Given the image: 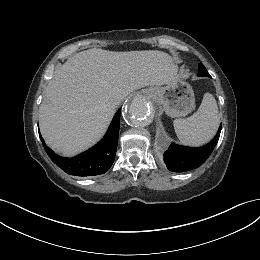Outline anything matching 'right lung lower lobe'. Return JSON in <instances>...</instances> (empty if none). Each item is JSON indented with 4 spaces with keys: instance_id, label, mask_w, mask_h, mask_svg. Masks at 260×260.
<instances>
[{
    "instance_id": "1",
    "label": "right lung lower lobe",
    "mask_w": 260,
    "mask_h": 260,
    "mask_svg": "<svg viewBox=\"0 0 260 260\" xmlns=\"http://www.w3.org/2000/svg\"><path fill=\"white\" fill-rule=\"evenodd\" d=\"M121 111L115 114L107 134L94 147L73 158H64L48 148L40 139L50 159L70 175L93 176L105 173L111 167L117 151Z\"/></svg>"
}]
</instances>
